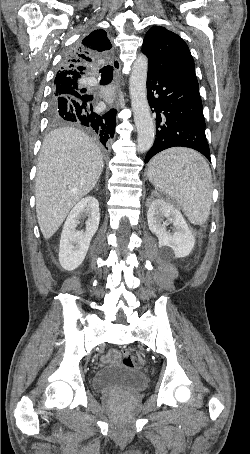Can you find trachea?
<instances>
[{"label":"trachea","mask_w":250,"mask_h":454,"mask_svg":"<svg viewBox=\"0 0 250 454\" xmlns=\"http://www.w3.org/2000/svg\"><path fill=\"white\" fill-rule=\"evenodd\" d=\"M101 73V83L108 84L113 79V67L107 65L100 70Z\"/></svg>","instance_id":"obj_1"}]
</instances>
